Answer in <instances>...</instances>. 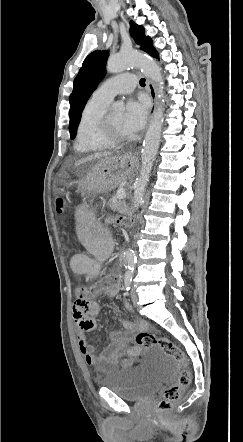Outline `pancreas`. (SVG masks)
<instances>
[{
    "mask_svg": "<svg viewBox=\"0 0 243 442\" xmlns=\"http://www.w3.org/2000/svg\"><path fill=\"white\" fill-rule=\"evenodd\" d=\"M123 206H124V202L121 200H117V199H115V201H112L109 204V207L111 208V210L118 211V212L123 211Z\"/></svg>",
    "mask_w": 243,
    "mask_h": 442,
    "instance_id": "pancreas-1",
    "label": "pancreas"
}]
</instances>
